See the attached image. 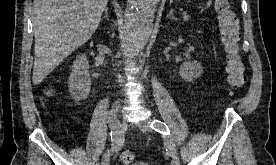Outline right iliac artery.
<instances>
[{"label": "right iliac artery", "mask_w": 276, "mask_h": 165, "mask_svg": "<svg viewBox=\"0 0 276 165\" xmlns=\"http://www.w3.org/2000/svg\"><path fill=\"white\" fill-rule=\"evenodd\" d=\"M111 128V140L113 142L112 144V151L114 152H117L120 147L122 146L123 144V135H122V130L120 129V127L118 126H112L110 127Z\"/></svg>", "instance_id": "right-iliac-artery-1"}]
</instances>
